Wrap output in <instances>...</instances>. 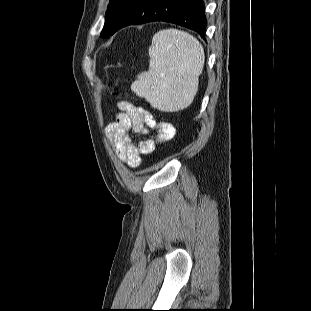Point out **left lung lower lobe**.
<instances>
[{
    "label": "left lung lower lobe",
    "instance_id": "1",
    "mask_svg": "<svg viewBox=\"0 0 311 311\" xmlns=\"http://www.w3.org/2000/svg\"><path fill=\"white\" fill-rule=\"evenodd\" d=\"M154 21L189 28L205 38L207 20L203 0H128L118 15L112 34L128 25Z\"/></svg>",
    "mask_w": 311,
    "mask_h": 311
}]
</instances>
